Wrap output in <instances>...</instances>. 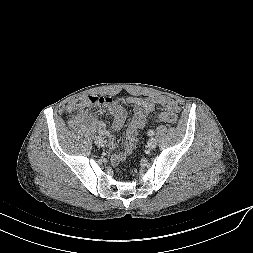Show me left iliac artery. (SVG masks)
Wrapping results in <instances>:
<instances>
[{"instance_id":"1","label":"left iliac artery","mask_w":253,"mask_h":253,"mask_svg":"<svg viewBox=\"0 0 253 253\" xmlns=\"http://www.w3.org/2000/svg\"><path fill=\"white\" fill-rule=\"evenodd\" d=\"M153 135H154V130H152V129L149 130V131H148V136H153Z\"/></svg>"}]
</instances>
